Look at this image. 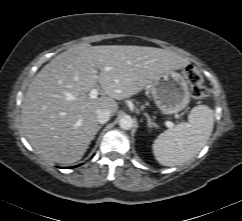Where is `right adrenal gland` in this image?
Segmentation results:
<instances>
[{"label": "right adrenal gland", "instance_id": "right-adrenal-gland-1", "mask_svg": "<svg viewBox=\"0 0 242 221\" xmlns=\"http://www.w3.org/2000/svg\"><path fill=\"white\" fill-rule=\"evenodd\" d=\"M101 128H102V125H100V126L98 127V131H99Z\"/></svg>", "mask_w": 242, "mask_h": 221}]
</instances>
